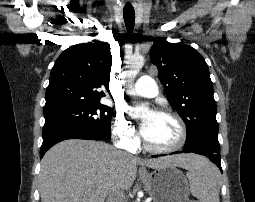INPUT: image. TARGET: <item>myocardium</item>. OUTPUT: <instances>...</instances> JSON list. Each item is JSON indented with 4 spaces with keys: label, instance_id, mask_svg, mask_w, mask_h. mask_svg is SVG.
<instances>
[{
    "label": "myocardium",
    "instance_id": "1",
    "mask_svg": "<svg viewBox=\"0 0 255 202\" xmlns=\"http://www.w3.org/2000/svg\"><path fill=\"white\" fill-rule=\"evenodd\" d=\"M154 113L159 114V115L169 116L176 121V123L179 127V139L172 146L156 147V146L151 145L146 140L145 136L143 135V132H141V139H142L144 148L150 152L157 153V154L172 153V152L180 150L185 145L186 140H187V127H186V124H185L184 120L182 119V117L178 113H176L175 111L170 110V109H160V110L155 111Z\"/></svg>",
    "mask_w": 255,
    "mask_h": 202
}]
</instances>
